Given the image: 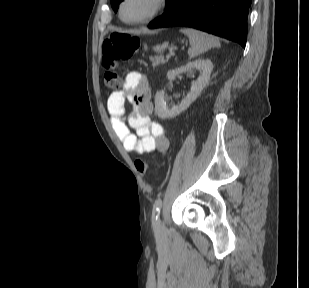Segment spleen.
<instances>
[{
	"label": "spleen",
	"mask_w": 309,
	"mask_h": 288,
	"mask_svg": "<svg viewBox=\"0 0 309 288\" xmlns=\"http://www.w3.org/2000/svg\"><path fill=\"white\" fill-rule=\"evenodd\" d=\"M180 31L189 38L191 47L188 49V55L190 58L197 57L213 47L220 46L219 39L208 33L192 28H184Z\"/></svg>",
	"instance_id": "3e777b00"
}]
</instances>
